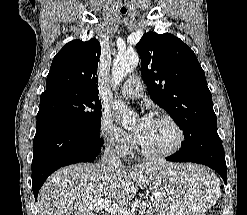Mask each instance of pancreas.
Here are the masks:
<instances>
[{"mask_svg":"<svg viewBox=\"0 0 247 215\" xmlns=\"http://www.w3.org/2000/svg\"><path fill=\"white\" fill-rule=\"evenodd\" d=\"M139 207L138 212L140 215H156V210L150 202L138 201Z\"/></svg>","mask_w":247,"mask_h":215,"instance_id":"obj_1","label":"pancreas"}]
</instances>
